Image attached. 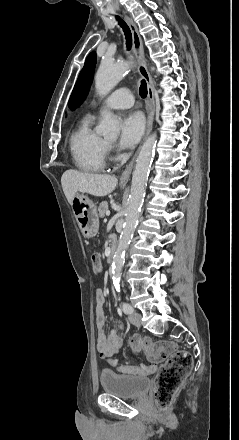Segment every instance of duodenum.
Listing matches in <instances>:
<instances>
[{
  "instance_id": "410a0bca",
  "label": "duodenum",
  "mask_w": 239,
  "mask_h": 440,
  "mask_svg": "<svg viewBox=\"0 0 239 440\" xmlns=\"http://www.w3.org/2000/svg\"><path fill=\"white\" fill-rule=\"evenodd\" d=\"M115 250H116L115 245H112L109 249V252H108V256H107L108 261H111L113 259V256L115 254Z\"/></svg>"
}]
</instances>
